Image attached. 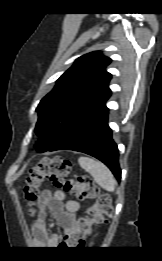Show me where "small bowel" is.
<instances>
[{"mask_svg":"<svg viewBox=\"0 0 162 261\" xmlns=\"http://www.w3.org/2000/svg\"><path fill=\"white\" fill-rule=\"evenodd\" d=\"M39 208L40 215L32 227L35 241L40 242L44 238L45 246L57 247L59 236L57 234L46 236L47 215L50 214L62 226L65 236L69 237L74 230L81 205L76 200L68 198L67 191L55 190L53 193L44 192L41 195Z\"/></svg>","mask_w":162,"mask_h":261,"instance_id":"1","label":"small bowel"}]
</instances>
